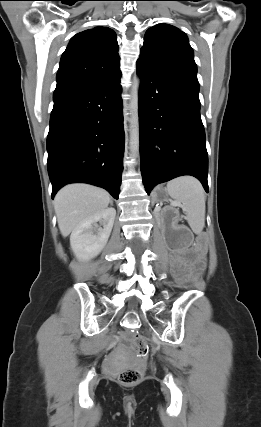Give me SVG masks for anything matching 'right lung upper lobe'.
Wrapping results in <instances>:
<instances>
[{
    "label": "right lung upper lobe",
    "mask_w": 261,
    "mask_h": 427,
    "mask_svg": "<svg viewBox=\"0 0 261 427\" xmlns=\"http://www.w3.org/2000/svg\"><path fill=\"white\" fill-rule=\"evenodd\" d=\"M113 30L96 27L77 33L62 54L53 99L104 82L120 72Z\"/></svg>",
    "instance_id": "cb5924a9"
}]
</instances>
